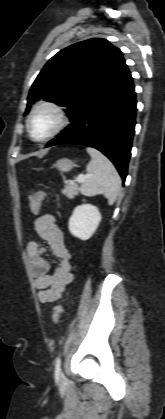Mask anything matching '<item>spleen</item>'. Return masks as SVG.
Instances as JSON below:
<instances>
[{"mask_svg": "<svg viewBox=\"0 0 165 419\" xmlns=\"http://www.w3.org/2000/svg\"><path fill=\"white\" fill-rule=\"evenodd\" d=\"M87 152L92 160L87 165L88 177L81 185V193L85 196L102 194L112 205L121 189V179L113 164L100 151L88 147Z\"/></svg>", "mask_w": 165, "mask_h": 419, "instance_id": "1", "label": "spleen"}]
</instances>
